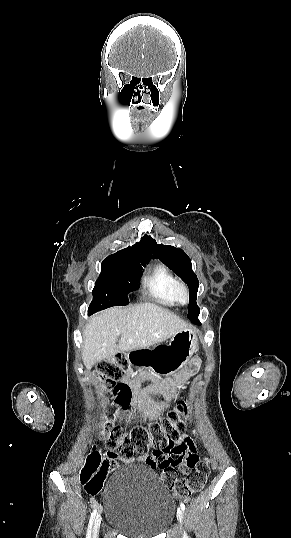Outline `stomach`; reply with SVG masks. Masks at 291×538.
<instances>
[{
	"mask_svg": "<svg viewBox=\"0 0 291 538\" xmlns=\"http://www.w3.org/2000/svg\"><path fill=\"white\" fill-rule=\"evenodd\" d=\"M198 345L196 330L187 328L175 334L168 345L135 349L127 353V361L137 368H150L158 377H173L180 363H188ZM200 365V361H199Z\"/></svg>",
	"mask_w": 291,
	"mask_h": 538,
	"instance_id": "obj_1",
	"label": "stomach"
}]
</instances>
